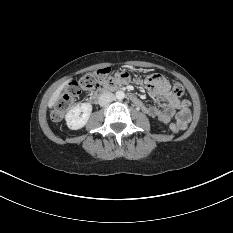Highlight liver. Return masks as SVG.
<instances>
[{
  "mask_svg": "<svg viewBox=\"0 0 233 233\" xmlns=\"http://www.w3.org/2000/svg\"><path fill=\"white\" fill-rule=\"evenodd\" d=\"M67 82H64L62 85H60L56 91L52 94L51 98L49 99V102H48V107L49 108H52L56 102L59 100V97H60V94L61 92L63 91V89L65 88V86L67 85Z\"/></svg>",
  "mask_w": 233,
  "mask_h": 233,
  "instance_id": "liver-1",
  "label": "liver"
}]
</instances>
